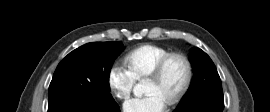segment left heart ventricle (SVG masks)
Here are the masks:
<instances>
[{
  "label": "left heart ventricle",
  "instance_id": "b2bd125f",
  "mask_svg": "<svg viewBox=\"0 0 270 112\" xmlns=\"http://www.w3.org/2000/svg\"><path fill=\"white\" fill-rule=\"evenodd\" d=\"M186 76V67L181 59H173L159 80L147 79L145 93H156L166 102L180 90Z\"/></svg>",
  "mask_w": 270,
  "mask_h": 112
}]
</instances>
